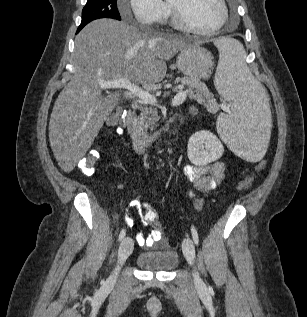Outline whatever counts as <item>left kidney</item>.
<instances>
[{"label": "left kidney", "mask_w": 307, "mask_h": 317, "mask_svg": "<svg viewBox=\"0 0 307 317\" xmlns=\"http://www.w3.org/2000/svg\"><path fill=\"white\" fill-rule=\"evenodd\" d=\"M223 153V144L210 131H198L189 139L187 147L188 158L196 166H206L221 158Z\"/></svg>", "instance_id": "5707ae66"}]
</instances>
